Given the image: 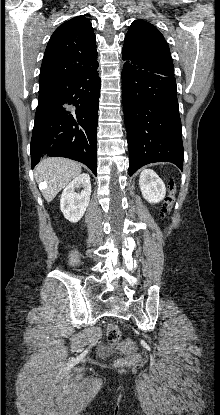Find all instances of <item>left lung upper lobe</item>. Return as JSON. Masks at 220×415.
<instances>
[{"label": "left lung upper lobe", "mask_w": 220, "mask_h": 415, "mask_svg": "<svg viewBox=\"0 0 220 415\" xmlns=\"http://www.w3.org/2000/svg\"><path fill=\"white\" fill-rule=\"evenodd\" d=\"M123 60L162 71L174 72L170 50L158 29L144 20L134 21L124 41Z\"/></svg>", "instance_id": "1"}]
</instances>
